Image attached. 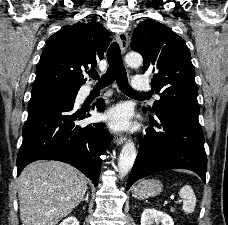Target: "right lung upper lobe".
Wrapping results in <instances>:
<instances>
[{"label": "right lung upper lobe", "instance_id": "1", "mask_svg": "<svg viewBox=\"0 0 228 225\" xmlns=\"http://www.w3.org/2000/svg\"><path fill=\"white\" fill-rule=\"evenodd\" d=\"M110 40L109 32L96 21L62 27L46 42L33 87L55 84L79 89L86 82L81 72L103 59Z\"/></svg>", "mask_w": 228, "mask_h": 225}]
</instances>
